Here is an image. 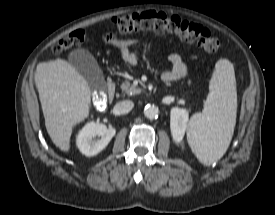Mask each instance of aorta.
<instances>
[{
    "mask_svg": "<svg viewBox=\"0 0 275 215\" xmlns=\"http://www.w3.org/2000/svg\"><path fill=\"white\" fill-rule=\"evenodd\" d=\"M159 114V109L157 106L155 105H147L144 108V115L148 118V119H155L158 117Z\"/></svg>",
    "mask_w": 275,
    "mask_h": 215,
    "instance_id": "762f6f07",
    "label": "aorta"
}]
</instances>
